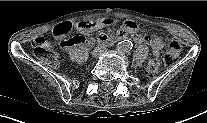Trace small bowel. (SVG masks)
I'll return each mask as SVG.
<instances>
[{
	"label": "small bowel",
	"mask_w": 207,
	"mask_h": 123,
	"mask_svg": "<svg viewBox=\"0 0 207 123\" xmlns=\"http://www.w3.org/2000/svg\"><path fill=\"white\" fill-rule=\"evenodd\" d=\"M126 23V25H125ZM121 27V29L118 32V36L120 37H125L127 34H133L132 38L134 42L136 43H146L151 46L152 53L154 56H158L161 51L164 48V42L161 38L158 36L152 35V36H142L138 33H136L137 28H138V22L136 20L129 19L127 20ZM107 22H100L95 24L92 27V24L90 23H83L81 25L83 31H91V30H97L105 26ZM99 39L101 41H106L110 39L106 34H101L99 36ZM80 43V42H79Z\"/></svg>",
	"instance_id": "1"
}]
</instances>
